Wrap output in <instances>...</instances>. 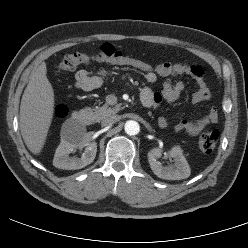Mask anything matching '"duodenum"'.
Here are the masks:
<instances>
[{
    "label": "duodenum",
    "mask_w": 248,
    "mask_h": 248,
    "mask_svg": "<svg viewBox=\"0 0 248 248\" xmlns=\"http://www.w3.org/2000/svg\"><path fill=\"white\" fill-rule=\"evenodd\" d=\"M142 103L145 107H150V103L148 100L143 99ZM71 121L78 126H87L91 123V116L88 112L85 111H76Z\"/></svg>",
    "instance_id": "1"
}]
</instances>
